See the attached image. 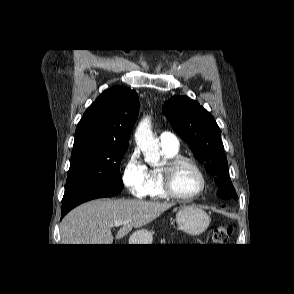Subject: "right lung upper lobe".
<instances>
[{
  "mask_svg": "<svg viewBox=\"0 0 294 294\" xmlns=\"http://www.w3.org/2000/svg\"><path fill=\"white\" fill-rule=\"evenodd\" d=\"M138 109V94L135 91L122 86L104 91L78 123L73 147H128Z\"/></svg>",
  "mask_w": 294,
  "mask_h": 294,
  "instance_id": "1",
  "label": "right lung upper lobe"
}]
</instances>
